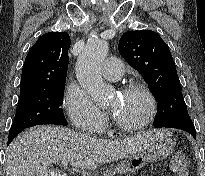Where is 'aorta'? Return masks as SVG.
<instances>
[{
  "label": "aorta",
  "instance_id": "aorta-1",
  "mask_svg": "<svg viewBox=\"0 0 205 176\" xmlns=\"http://www.w3.org/2000/svg\"><path fill=\"white\" fill-rule=\"evenodd\" d=\"M108 53V43L103 40L89 41L76 63V77L84 90L101 103L110 94L101 76V66Z\"/></svg>",
  "mask_w": 205,
  "mask_h": 176
}]
</instances>
